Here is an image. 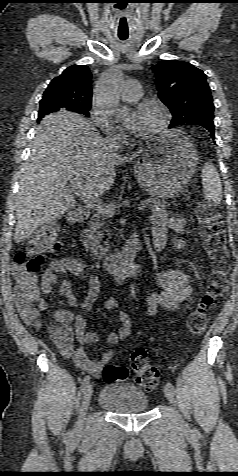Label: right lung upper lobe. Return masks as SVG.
<instances>
[{
    "instance_id": "cb5924a9",
    "label": "right lung upper lobe",
    "mask_w": 238,
    "mask_h": 476,
    "mask_svg": "<svg viewBox=\"0 0 238 476\" xmlns=\"http://www.w3.org/2000/svg\"><path fill=\"white\" fill-rule=\"evenodd\" d=\"M91 73L86 65H72L48 85L40 102L56 104L62 110L79 112L91 107Z\"/></svg>"
}]
</instances>
